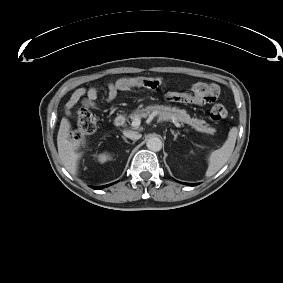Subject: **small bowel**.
<instances>
[{"instance_id": "c3829d8e", "label": "small bowel", "mask_w": 283, "mask_h": 283, "mask_svg": "<svg viewBox=\"0 0 283 283\" xmlns=\"http://www.w3.org/2000/svg\"><path fill=\"white\" fill-rule=\"evenodd\" d=\"M147 82L151 85L157 86L160 81L158 79H149ZM136 84V79L129 76L122 77L114 82L108 83L106 86L108 101H113L120 91L131 88ZM218 92L219 88L215 84L197 83L193 87V94L190 98L196 105H203L207 102L214 101ZM98 94L99 89L96 86L76 89L65 105L67 114H70L71 109L80 102L90 107H95ZM166 98L169 101H176L180 103H186L190 100L188 96L181 93H168Z\"/></svg>"}]
</instances>
